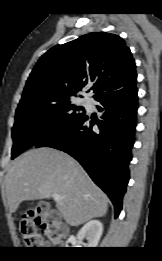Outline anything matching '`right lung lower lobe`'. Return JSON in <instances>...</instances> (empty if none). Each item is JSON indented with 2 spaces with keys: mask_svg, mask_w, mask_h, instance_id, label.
I'll use <instances>...</instances> for the list:
<instances>
[{
  "mask_svg": "<svg viewBox=\"0 0 162 261\" xmlns=\"http://www.w3.org/2000/svg\"><path fill=\"white\" fill-rule=\"evenodd\" d=\"M135 85L103 94L96 101L103 113L101 120L84 115L52 133L35 147H52L74 157L92 180L109 196L115 217L122 209L123 195L129 181V163L134 144L138 108ZM98 130H93V125Z\"/></svg>",
  "mask_w": 162,
  "mask_h": 261,
  "instance_id": "98d812e1",
  "label": "right lung lower lobe"
}]
</instances>
